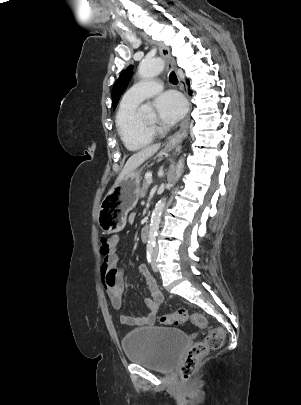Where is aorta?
I'll use <instances>...</instances> for the list:
<instances>
[{
	"label": "aorta",
	"mask_w": 301,
	"mask_h": 405,
	"mask_svg": "<svg viewBox=\"0 0 301 405\" xmlns=\"http://www.w3.org/2000/svg\"><path fill=\"white\" fill-rule=\"evenodd\" d=\"M164 70V62L161 59H145L143 60L138 67V74L142 78H151ZM184 169V159H180L176 165L175 172V181L181 177ZM166 205V198L161 199L155 205V208L152 212L151 222L148 233L147 247L153 248L155 246L156 236L159 230V224L163 210Z\"/></svg>",
	"instance_id": "1"
}]
</instances>
